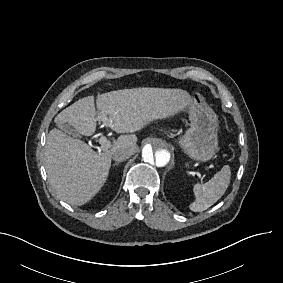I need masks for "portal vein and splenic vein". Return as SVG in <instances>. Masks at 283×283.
<instances>
[{"instance_id": "1", "label": "portal vein and splenic vein", "mask_w": 283, "mask_h": 283, "mask_svg": "<svg viewBox=\"0 0 283 283\" xmlns=\"http://www.w3.org/2000/svg\"><path fill=\"white\" fill-rule=\"evenodd\" d=\"M102 122L104 123L105 126L107 127H112L113 126V121L112 119L108 118L106 115L103 117H100ZM99 143L101 144V149L102 150H108L111 147V142L107 140L105 136L101 137L99 139Z\"/></svg>"}]
</instances>
